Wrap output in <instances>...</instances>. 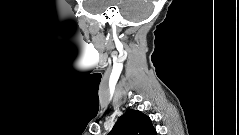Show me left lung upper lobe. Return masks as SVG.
Here are the masks:
<instances>
[{"label": "left lung upper lobe", "instance_id": "left-lung-upper-lobe-1", "mask_svg": "<svg viewBox=\"0 0 239 135\" xmlns=\"http://www.w3.org/2000/svg\"><path fill=\"white\" fill-rule=\"evenodd\" d=\"M151 119L138 110H128L114 125L109 135H156Z\"/></svg>", "mask_w": 239, "mask_h": 135}]
</instances>
